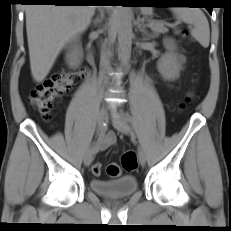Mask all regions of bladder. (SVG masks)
<instances>
[{"label":"bladder","instance_id":"obj_1","mask_svg":"<svg viewBox=\"0 0 231 231\" xmlns=\"http://www.w3.org/2000/svg\"><path fill=\"white\" fill-rule=\"evenodd\" d=\"M138 186L133 175H125L112 180L91 179L89 187L95 193L107 198H126L132 195Z\"/></svg>","mask_w":231,"mask_h":231}]
</instances>
